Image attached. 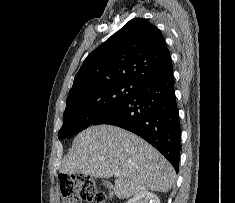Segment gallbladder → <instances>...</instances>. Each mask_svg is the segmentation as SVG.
Instances as JSON below:
<instances>
[{"mask_svg":"<svg viewBox=\"0 0 235 203\" xmlns=\"http://www.w3.org/2000/svg\"><path fill=\"white\" fill-rule=\"evenodd\" d=\"M103 184L107 186L108 188H112V184L109 181H104Z\"/></svg>","mask_w":235,"mask_h":203,"instance_id":"obj_1","label":"gallbladder"}]
</instances>
